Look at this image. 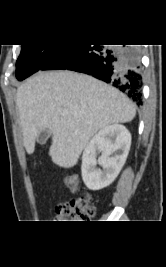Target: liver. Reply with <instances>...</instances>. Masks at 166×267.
<instances>
[{"mask_svg": "<svg viewBox=\"0 0 166 267\" xmlns=\"http://www.w3.org/2000/svg\"><path fill=\"white\" fill-rule=\"evenodd\" d=\"M16 103L28 154L39 133L52 136L49 156L63 168L75 166L101 129L133 120L136 109L123 93L93 77L71 71L39 72L17 89Z\"/></svg>", "mask_w": 166, "mask_h": 267, "instance_id": "6515ba94", "label": "liver"}]
</instances>
